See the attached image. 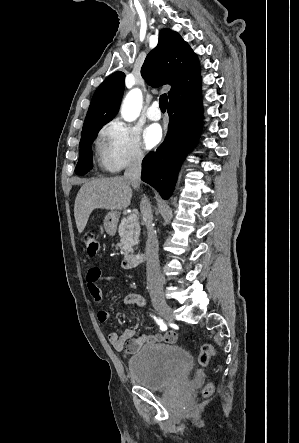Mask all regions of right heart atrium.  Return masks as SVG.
<instances>
[{
    "instance_id": "right-heart-atrium-1",
    "label": "right heart atrium",
    "mask_w": 299,
    "mask_h": 443,
    "mask_svg": "<svg viewBox=\"0 0 299 443\" xmlns=\"http://www.w3.org/2000/svg\"><path fill=\"white\" fill-rule=\"evenodd\" d=\"M104 165L111 171H120L129 166H139L145 153L138 131L126 123L113 120L100 132Z\"/></svg>"
}]
</instances>
